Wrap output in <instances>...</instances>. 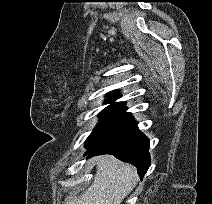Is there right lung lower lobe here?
I'll return each mask as SVG.
<instances>
[{"label": "right lung lower lobe", "instance_id": "1", "mask_svg": "<svg viewBox=\"0 0 212 204\" xmlns=\"http://www.w3.org/2000/svg\"><path fill=\"white\" fill-rule=\"evenodd\" d=\"M149 145L148 138L141 134L137 122L133 121L111 139L87 150L89 156L112 154L124 162H129L137 167L138 174L143 178L150 166Z\"/></svg>", "mask_w": 212, "mask_h": 204}]
</instances>
